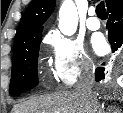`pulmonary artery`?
I'll return each instance as SVG.
<instances>
[{
	"instance_id": "e3ab8cb5",
	"label": "pulmonary artery",
	"mask_w": 123,
	"mask_h": 113,
	"mask_svg": "<svg viewBox=\"0 0 123 113\" xmlns=\"http://www.w3.org/2000/svg\"><path fill=\"white\" fill-rule=\"evenodd\" d=\"M88 13H89V17L86 21V25H87L88 29L93 30V31L100 29L101 22L96 17L95 9L90 8Z\"/></svg>"
}]
</instances>
